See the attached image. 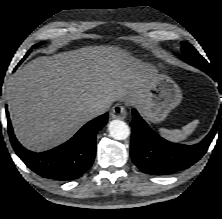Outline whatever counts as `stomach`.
Listing matches in <instances>:
<instances>
[{
  "label": "stomach",
  "instance_id": "0dacf381",
  "mask_svg": "<svg viewBox=\"0 0 222 219\" xmlns=\"http://www.w3.org/2000/svg\"><path fill=\"white\" fill-rule=\"evenodd\" d=\"M163 69L162 64L154 67L145 97L136 105L142 115L153 123L163 121L182 100L179 86Z\"/></svg>",
  "mask_w": 222,
  "mask_h": 219
}]
</instances>
